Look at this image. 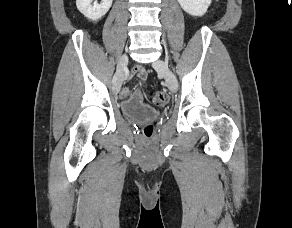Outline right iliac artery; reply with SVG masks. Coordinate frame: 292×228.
Instances as JSON below:
<instances>
[{
	"label": "right iliac artery",
	"mask_w": 292,
	"mask_h": 228,
	"mask_svg": "<svg viewBox=\"0 0 292 228\" xmlns=\"http://www.w3.org/2000/svg\"><path fill=\"white\" fill-rule=\"evenodd\" d=\"M116 79H117V75H114V77H113V83L116 81Z\"/></svg>",
	"instance_id": "right-iliac-artery-1"
}]
</instances>
